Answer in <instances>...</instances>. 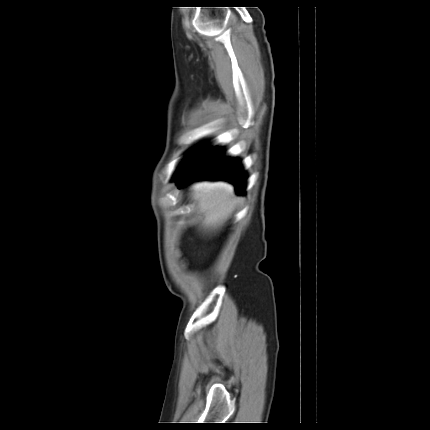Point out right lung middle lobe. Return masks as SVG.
<instances>
[{"mask_svg":"<svg viewBox=\"0 0 430 430\" xmlns=\"http://www.w3.org/2000/svg\"><path fill=\"white\" fill-rule=\"evenodd\" d=\"M209 148L199 149L193 152L187 159H185L179 166L177 173L184 167L189 166L193 162H195L199 157H201L204 153H206Z\"/></svg>","mask_w":430,"mask_h":430,"instance_id":"right-lung-middle-lobe-1","label":"right lung middle lobe"}]
</instances>
